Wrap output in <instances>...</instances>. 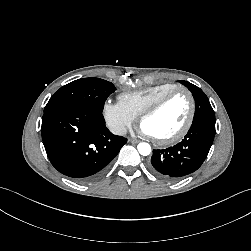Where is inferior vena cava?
Segmentation results:
<instances>
[{"mask_svg":"<svg viewBox=\"0 0 251 251\" xmlns=\"http://www.w3.org/2000/svg\"><path fill=\"white\" fill-rule=\"evenodd\" d=\"M110 130L113 134L120 136H123L127 133V129L124 126H114Z\"/></svg>","mask_w":251,"mask_h":251,"instance_id":"1","label":"inferior vena cava"}]
</instances>
